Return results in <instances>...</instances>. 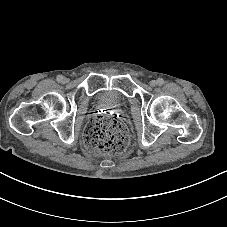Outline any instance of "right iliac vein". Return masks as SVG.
Wrapping results in <instances>:
<instances>
[{"label":"right iliac vein","instance_id":"right-iliac-vein-1","mask_svg":"<svg viewBox=\"0 0 227 227\" xmlns=\"http://www.w3.org/2000/svg\"><path fill=\"white\" fill-rule=\"evenodd\" d=\"M67 80H68L67 78H64L62 81H63V82H66Z\"/></svg>","mask_w":227,"mask_h":227}]
</instances>
